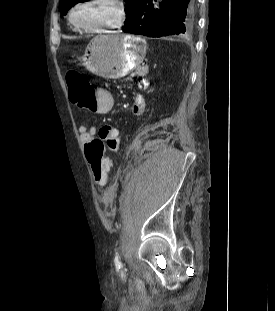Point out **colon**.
Here are the masks:
<instances>
[{"label":"colon","instance_id":"obj_1","mask_svg":"<svg viewBox=\"0 0 275 311\" xmlns=\"http://www.w3.org/2000/svg\"><path fill=\"white\" fill-rule=\"evenodd\" d=\"M66 81L69 87V98L74 105L84 108V105H89L95 98L92 84L82 74L69 72L66 76ZM107 147L110 148L101 139L91 141L86 147V157L90 164L94 181L98 185L105 184L111 169V159L106 155Z\"/></svg>","mask_w":275,"mask_h":311}]
</instances>
